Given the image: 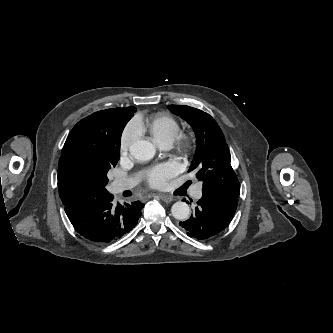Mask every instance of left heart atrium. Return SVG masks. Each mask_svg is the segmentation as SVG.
<instances>
[{
	"instance_id": "obj_1",
	"label": "left heart atrium",
	"mask_w": 333,
	"mask_h": 333,
	"mask_svg": "<svg viewBox=\"0 0 333 333\" xmlns=\"http://www.w3.org/2000/svg\"><path fill=\"white\" fill-rule=\"evenodd\" d=\"M178 168L173 163H163L151 168L146 178L152 187L160 188L167 184V181L176 175Z\"/></svg>"
}]
</instances>
